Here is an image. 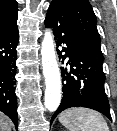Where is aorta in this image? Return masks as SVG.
<instances>
[{
    "label": "aorta",
    "instance_id": "obj_1",
    "mask_svg": "<svg viewBox=\"0 0 117 131\" xmlns=\"http://www.w3.org/2000/svg\"><path fill=\"white\" fill-rule=\"evenodd\" d=\"M42 67L45 78L44 105L54 112L61 102V75L56 61L54 38L51 30H46L41 44Z\"/></svg>",
    "mask_w": 117,
    "mask_h": 131
}]
</instances>
